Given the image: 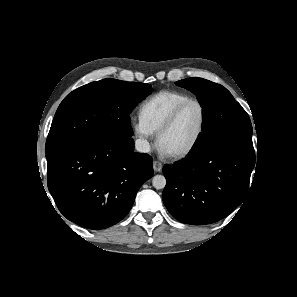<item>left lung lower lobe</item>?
Masks as SVG:
<instances>
[{"instance_id": "obj_1", "label": "left lung lower lobe", "mask_w": 297, "mask_h": 297, "mask_svg": "<svg viewBox=\"0 0 297 297\" xmlns=\"http://www.w3.org/2000/svg\"><path fill=\"white\" fill-rule=\"evenodd\" d=\"M255 153L214 147L165 165L163 202L186 224L204 225L229 215L245 199Z\"/></svg>"}]
</instances>
